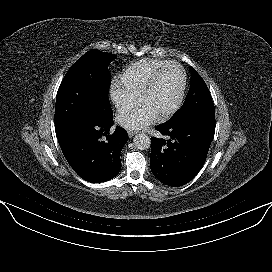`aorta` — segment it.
<instances>
[{
	"label": "aorta",
	"instance_id": "obj_1",
	"mask_svg": "<svg viewBox=\"0 0 272 272\" xmlns=\"http://www.w3.org/2000/svg\"><path fill=\"white\" fill-rule=\"evenodd\" d=\"M133 144L139 150H146L149 149L151 146V139L148 135L144 133L137 134L133 138Z\"/></svg>",
	"mask_w": 272,
	"mask_h": 272
}]
</instances>
